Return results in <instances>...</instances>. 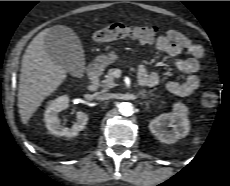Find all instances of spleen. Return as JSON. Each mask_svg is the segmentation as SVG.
<instances>
[{"label":"spleen","mask_w":230,"mask_h":186,"mask_svg":"<svg viewBox=\"0 0 230 186\" xmlns=\"http://www.w3.org/2000/svg\"><path fill=\"white\" fill-rule=\"evenodd\" d=\"M198 142V139H195L194 143H197Z\"/></svg>","instance_id":"spleen-1"}]
</instances>
